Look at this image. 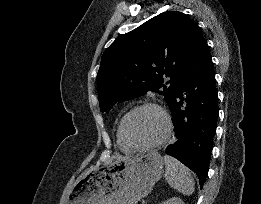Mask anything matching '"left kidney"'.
Instances as JSON below:
<instances>
[{
	"label": "left kidney",
	"instance_id": "1",
	"mask_svg": "<svg viewBox=\"0 0 261 204\" xmlns=\"http://www.w3.org/2000/svg\"><path fill=\"white\" fill-rule=\"evenodd\" d=\"M161 204H185L182 199L178 197H173L170 199H167L166 201L162 202Z\"/></svg>",
	"mask_w": 261,
	"mask_h": 204
}]
</instances>
